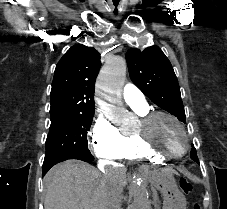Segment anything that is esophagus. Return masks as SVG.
<instances>
[{
    "mask_svg": "<svg viewBox=\"0 0 227 209\" xmlns=\"http://www.w3.org/2000/svg\"><path fill=\"white\" fill-rule=\"evenodd\" d=\"M149 173H150V166H141V169L139 170L140 177H146L147 174Z\"/></svg>",
    "mask_w": 227,
    "mask_h": 209,
    "instance_id": "1",
    "label": "esophagus"
}]
</instances>
